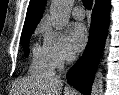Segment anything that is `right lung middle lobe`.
Listing matches in <instances>:
<instances>
[{"label":"right lung middle lobe","mask_w":119,"mask_h":95,"mask_svg":"<svg viewBox=\"0 0 119 95\" xmlns=\"http://www.w3.org/2000/svg\"><path fill=\"white\" fill-rule=\"evenodd\" d=\"M33 31L34 30H30V31H27L25 33H22V35H21L20 42L23 46L26 57H28V55H29V48H28L29 47V39H30Z\"/></svg>","instance_id":"1"}]
</instances>
